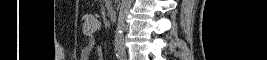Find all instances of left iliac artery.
Returning <instances> with one entry per match:
<instances>
[{"mask_svg":"<svg viewBox=\"0 0 267 60\" xmlns=\"http://www.w3.org/2000/svg\"><path fill=\"white\" fill-rule=\"evenodd\" d=\"M120 60H127V57H126V55H121V57H120Z\"/></svg>","mask_w":267,"mask_h":60,"instance_id":"44dca946","label":"left iliac artery"}]
</instances>
